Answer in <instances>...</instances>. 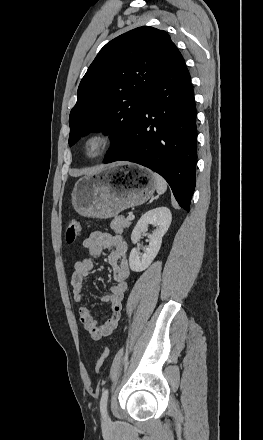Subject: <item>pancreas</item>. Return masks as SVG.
<instances>
[{"label":"pancreas","mask_w":263,"mask_h":440,"mask_svg":"<svg viewBox=\"0 0 263 440\" xmlns=\"http://www.w3.org/2000/svg\"><path fill=\"white\" fill-rule=\"evenodd\" d=\"M131 225L130 221H128L125 217L123 216H118L115 217L112 222L110 223V227L111 229L116 233V234H121L123 233V230L125 228H128Z\"/></svg>","instance_id":"obj_1"}]
</instances>
